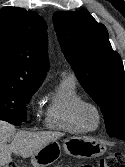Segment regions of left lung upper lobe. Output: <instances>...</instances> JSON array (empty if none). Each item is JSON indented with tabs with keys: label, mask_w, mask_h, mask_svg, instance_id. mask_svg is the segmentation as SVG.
Returning <instances> with one entry per match:
<instances>
[{
	"label": "left lung upper lobe",
	"mask_w": 125,
	"mask_h": 167,
	"mask_svg": "<svg viewBox=\"0 0 125 167\" xmlns=\"http://www.w3.org/2000/svg\"><path fill=\"white\" fill-rule=\"evenodd\" d=\"M53 23L66 60L101 108L108 135L125 140V72L106 27L85 9L55 12Z\"/></svg>",
	"instance_id": "left-lung-upper-lobe-1"
}]
</instances>
